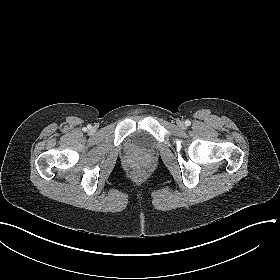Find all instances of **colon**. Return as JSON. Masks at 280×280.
I'll return each instance as SVG.
<instances>
[{
    "instance_id": "colon-1",
    "label": "colon",
    "mask_w": 280,
    "mask_h": 280,
    "mask_svg": "<svg viewBox=\"0 0 280 280\" xmlns=\"http://www.w3.org/2000/svg\"><path fill=\"white\" fill-rule=\"evenodd\" d=\"M133 176L137 179H140L142 177V171L139 168L135 169L133 171Z\"/></svg>"
}]
</instances>
